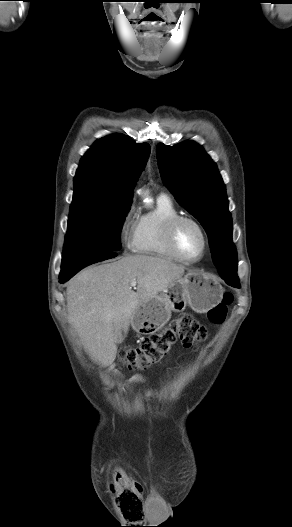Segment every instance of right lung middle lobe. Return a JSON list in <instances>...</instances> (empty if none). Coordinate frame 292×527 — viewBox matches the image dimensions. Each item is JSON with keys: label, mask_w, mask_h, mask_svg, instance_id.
<instances>
[{"label": "right lung middle lobe", "mask_w": 292, "mask_h": 527, "mask_svg": "<svg viewBox=\"0 0 292 527\" xmlns=\"http://www.w3.org/2000/svg\"><path fill=\"white\" fill-rule=\"evenodd\" d=\"M130 205L131 200L74 189L63 254L120 250L121 228Z\"/></svg>", "instance_id": "1"}]
</instances>
